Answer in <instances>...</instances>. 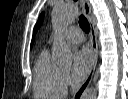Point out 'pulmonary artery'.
<instances>
[{"instance_id": "obj_1", "label": "pulmonary artery", "mask_w": 128, "mask_h": 99, "mask_svg": "<svg viewBox=\"0 0 128 99\" xmlns=\"http://www.w3.org/2000/svg\"><path fill=\"white\" fill-rule=\"evenodd\" d=\"M65 38L73 43H80L83 40L82 32L76 27L68 28L64 33Z\"/></svg>"}]
</instances>
